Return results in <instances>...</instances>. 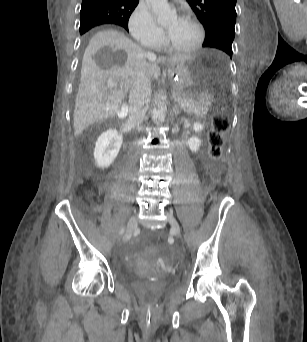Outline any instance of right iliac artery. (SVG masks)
<instances>
[{
    "label": "right iliac artery",
    "instance_id": "obj_1",
    "mask_svg": "<svg viewBox=\"0 0 307 342\" xmlns=\"http://www.w3.org/2000/svg\"><path fill=\"white\" fill-rule=\"evenodd\" d=\"M124 231H125V228L123 227V228L121 229V231H120V236L123 235Z\"/></svg>",
    "mask_w": 307,
    "mask_h": 342
}]
</instances>
